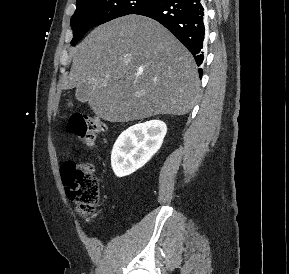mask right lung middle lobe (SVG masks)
<instances>
[{
  "mask_svg": "<svg viewBox=\"0 0 289 274\" xmlns=\"http://www.w3.org/2000/svg\"><path fill=\"white\" fill-rule=\"evenodd\" d=\"M157 0H77L71 18L74 46L91 28L112 19L134 14Z\"/></svg>",
  "mask_w": 289,
  "mask_h": 274,
  "instance_id": "right-lung-middle-lobe-1",
  "label": "right lung middle lobe"
}]
</instances>
